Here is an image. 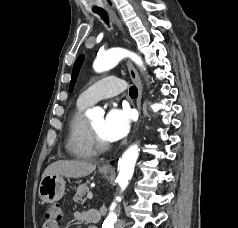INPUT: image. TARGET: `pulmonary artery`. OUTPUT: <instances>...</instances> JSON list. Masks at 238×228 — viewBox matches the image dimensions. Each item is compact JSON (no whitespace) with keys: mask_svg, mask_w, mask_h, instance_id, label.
I'll use <instances>...</instances> for the list:
<instances>
[{"mask_svg":"<svg viewBox=\"0 0 238 228\" xmlns=\"http://www.w3.org/2000/svg\"><path fill=\"white\" fill-rule=\"evenodd\" d=\"M125 89L124 82L115 76L105 77L87 89L79 96V100L85 104L92 105L100 99L114 97Z\"/></svg>","mask_w":238,"mask_h":228,"instance_id":"1","label":"pulmonary artery"}]
</instances>
